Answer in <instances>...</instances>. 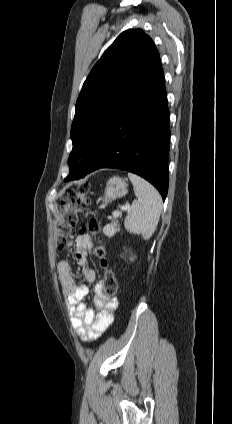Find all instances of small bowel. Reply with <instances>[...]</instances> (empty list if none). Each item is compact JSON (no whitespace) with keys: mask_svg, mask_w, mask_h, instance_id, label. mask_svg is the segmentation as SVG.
Listing matches in <instances>:
<instances>
[{"mask_svg":"<svg viewBox=\"0 0 232 424\" xmlns=\"http://www.w3.org/2000/svg\"><path fill=\"white\" fill-rule=\"evenodd\" d=\"M91 246L92 239L89 235L80 236L68 244V247L73 249L74 260L83 268L82 274L87 282L96 280L95 272L87 267V251ZM56 270L66 309L71 317V326L82 341L96 340L112 324L117 301L104 296L102 282L98 281L92 300L94 309L88 307L84 300L89 289L86 285L77 283V276L72 271L70 261H59Z\"/></svg>","mask_w":232,"mask_h":424,"instance_id":"1","label":"small bowel"}]
</instances>
